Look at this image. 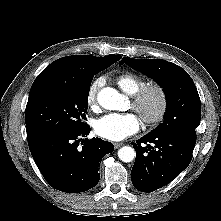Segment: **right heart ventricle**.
<instances>
[{"instance_id": "right-heart-ventricle-1", "label": "right heart ventricle", "mask_w": 221, "mask_h": 221, "mask_svg": "<svg viewBox=\"0 0 221 221\" xmlns=\"http://www.w3.org/2000/svg\"><path fill=\"white\" fill-rule=\"evenodd\" d=\"M116 82L125 93L131 96L146 84L144 78L131 72H126L119 75Z\"/></svg>"}]
</instances>
